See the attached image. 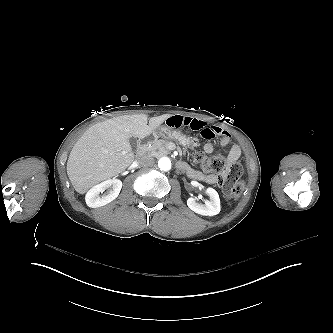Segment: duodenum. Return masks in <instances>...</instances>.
Segmentation results:
<instances>
[{
	"mask_svg": "<svg viewBox=\"0 0 333 333\" xmlns=\"http://www.w3.org/2000/svg\"><path fill=\"white\" fill-rule=\"evenodd\" d=\"M145 147H146V144H145L144 142H141V143H140V146H139V153L143 152V150L145 149ZM186 170H187V173H188L190 176H193V175H194L193 171H192L190 168H186Z\"/></svg>",
	"mask_w": 333,
	"mask_h": 333,
	"instance_id": "duodenum-1",
	"label": "duodenum"
}]
</instances>
